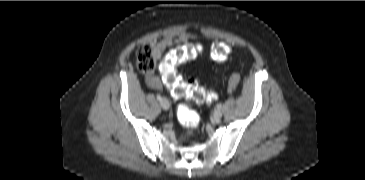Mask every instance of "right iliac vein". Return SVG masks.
I'll return each instance as SVG.
<instances>
[{
	"instance_id": "1",
	"label": "right iliac vein",
	"mask_w": 365,
	"mask_h": 180,
	"mask_svg": "<svg viewBox=\"0 0 365 180\" xmlns=\"http://www.w3.org/2000/svg\"><path fill=\"white\" fill-rule=\"evenodd\" d=\"M160 105L161 107L164 109V110H168L170 108V103L167 99L163 98L161 101H160Z\"/></svg>"
}]
</instances>
